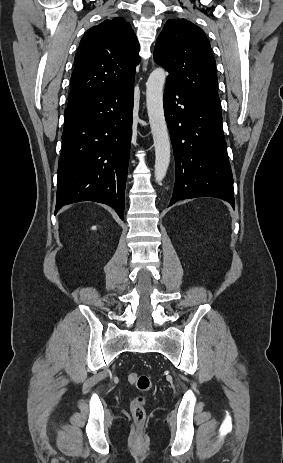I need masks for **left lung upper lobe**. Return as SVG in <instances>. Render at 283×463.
I'll return each instance as SVG.
<instances>
[{
	"instance_id": "1",
	"label": "left lung upper lobe",
	"mask_w": 283,
	"mask_h": 463,
	"mask_svg": "<svg viewBox=\"0 0 283 463\" xmlns=\"http://www.w3.org/2000/svg\"><path fill=\"white\" fill-rule=\"evenodd\" d=\"M154 60L169 72L168 79L221 110L216 62L200 27L186 19L168 20L156 41Z\"/></svg>"
}]
</instances>
